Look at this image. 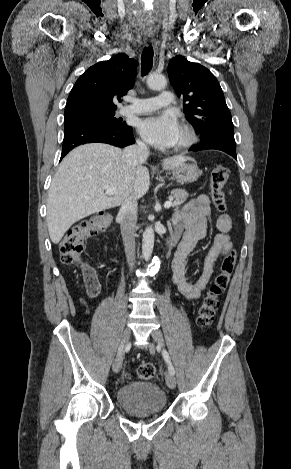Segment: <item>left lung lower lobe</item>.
<instances>
[{
    "instance_id": "obj_1",
    "label": "left lung lower lobe",
    "mask_w": 291,
    "mask_h": 469,
    "mask_svg": "<svg viewBox=\"0 0 291 469\" xmlns=\"http://www.w3.org/2000/svg\"><path fill=\"white\" fill-rule=\"evenodd\" d=\"M204 149H218L228 153L237 159L235 150V139L226 136H217L206 141H201L198 146L191 147V151H199Z\"/></svg>"
}]
</instances>
